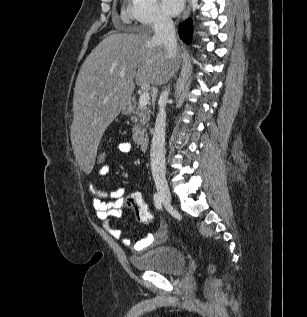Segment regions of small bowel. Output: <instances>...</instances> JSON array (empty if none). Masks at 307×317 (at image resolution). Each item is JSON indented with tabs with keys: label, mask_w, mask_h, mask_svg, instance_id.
Masks as SVG:
<instances>
[{
	"label": "small bowel",
	"mask_w": 307,
	"mask_h": 317,
	"mask_svg": "<svg viewBox=\"0 0 307 317\" xmlns=\"http://www.w3.org/2000/svg\"><path fill=\"white\" fill-rule=\"evenodd\" d=\"M116 150L119 154H128L133 150V144L129 141H123L118 143ZM111 169L110 165H104L99 168L97 175L98 177H105L109 174ZM89 189L94 195L93 207L96 211L97 217L104 221L105 229L117 239H120L123 244L129 247L135 252H140L150 247L156 240L158 234L153 231L149 233L144 239L132 242L125 238L123 233L111 226L109 219L112 217H120L122 215V209L125 206V193L124 187H119L114 190H103L100 189L97 182L92 180L89 184ZM107 200V201H105Z\"/></svg>",
	"instance_id": "1"
}]
</instances>
